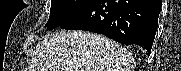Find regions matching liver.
<instances>
[{
  "label": "liver",
  "mask_w": 181,
  "mask_h": 71,
  "mask_svg": "<svg viewBox=\"0 0 181 71\" xmlns=\"http://www.w3.org/2000/svg\"><path fill=\"white\" fill-rule=\"evenodd\" d=\"M133 64L130 52L105 36L61 31L37 44L29 71H132Z\"/></svg>",
  "instance_id": "1"
}]
</instances>
